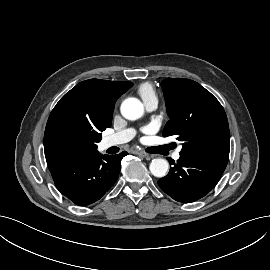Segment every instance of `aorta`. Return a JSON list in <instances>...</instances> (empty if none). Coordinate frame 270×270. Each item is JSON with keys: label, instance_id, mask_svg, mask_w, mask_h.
Returning <instances> with one entry per match:
<instances>
[{"label": "aorta", "instance_id": "762f6f07", "mask_svg": "<svg viewBox=\"0 0 270 270\" xmlns=\"http://www.w3.org/2000/svg\"><path fill=\"white\" fill-rule=\"evenodd\" d=\"M121 114L128 120H137L144 113L143 104L136 98L125 99L120 107ZM169 164L167 160L162 158L153 159L150 163V171L152 175L162 178L167 174Z\"/></svg>", "mask_w": 270, "mask_h": 270}]
</instances>
